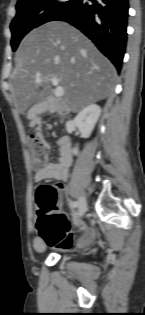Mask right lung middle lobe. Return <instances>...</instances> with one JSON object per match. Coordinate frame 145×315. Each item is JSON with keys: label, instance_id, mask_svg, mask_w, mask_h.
Listing matches in <instances>:
<instances>
[{"label": "right lung middle lobe", "instance_id": "1", "mask_svg": "<svg viewBox=\"0 0 145 315\" xmlns=\"http://www.w3.org/2000/svg\"><path fill=\"white\" fill-rule=\"evenodd\" d=\"M74 0H23L16 5V16L11 22V46L15 51L22 38L32 29L53 21Z\"/></svg>", "mask_w": 145, "mask_h": 315}]
</instances>
